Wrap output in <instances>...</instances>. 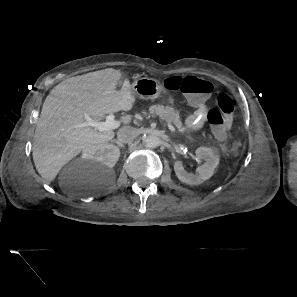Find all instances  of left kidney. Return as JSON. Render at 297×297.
<instances>
[{
	"mask_svg": "<svg viewBox=\"0 0 297 297\" xmlns=\"http://www.w3.org/2000/svg\"><path fill=\"white\" fill-rule=\"evenodd\" d=\"M196 157L204 160V164L196 169V174L188 173L182 161L177 160L174 163V171L178 179L182 183L188 185H199L208 180L214 173L215 168L219 164V156L212 148L199 147L196 149Z\"/></svg>",
	"mask_w": 297,
	"mask_h": 297,
	"instance_id": "1",
	"label": "left kidney"
}]
</instances>
